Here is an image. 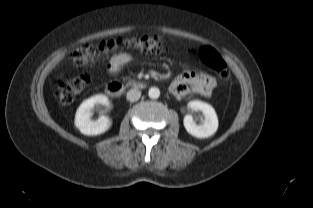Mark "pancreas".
Masks as SVG:
<instances>
[{
	"label": "pancreas",
	"mask_w": 313,
	"mask_h": 208,
	"mask_svg": "<svg viewBox=\"0 0 313 208\" xmlns=\"http://www.w3.org/2000/svg\"><path fill=\"white\" fill-rule=\"evenodd\" d=\"M123 79H124V80H128V83H130V84H131V83H134V81L131 80L129 77H124Z\"/></svg>",
	"instance_id": "cf45deb5"
}]
</instances>
